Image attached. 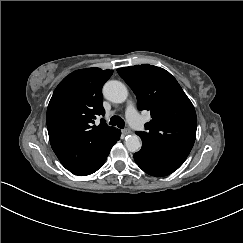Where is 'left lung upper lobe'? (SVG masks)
<instances>
[{
	"label": "left lung upper lobe",
	"mask_w": 243,
	"mask_h": 243,
	"mask_svg": "<svg viewBox=\"0 0 243 243\" xmlns=\"http://www.w3.org/2000/svg\"><path fill=\"white\" fill-rule=\"evenodd\" d=\"M117 72L135 93L138 109L151 113L147 131L137 132L142 143L188 156L196 137L197 117L177 80L165 69L149 64Z\"/></svg>",
	"instance_id": "1"
}]
</instances>
